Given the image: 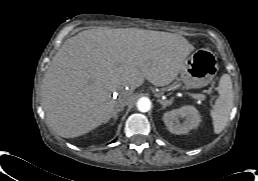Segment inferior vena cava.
<instances>
[{
    "label": "inferior vena cava",
    "mask_w": 258,
    "mask_h": 181,
    "mask_svg": "<svg viewBox=\"0 0 258 181\" xmlns=\"http://www.w3.org/2000/svg\"><path fill=\"white\" fill-rule=\"evenodd\" d=\"M130 93H125L122 96L118 97L115 104L116 107H124L128 101V98L130 97Z\"/></svg>",
    "instance_id": "602c4592"
}]
</instances>
